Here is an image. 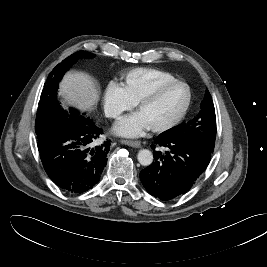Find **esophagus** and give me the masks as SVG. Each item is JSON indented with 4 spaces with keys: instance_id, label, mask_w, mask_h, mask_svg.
Listing matches in <instances>:
<instances>
[{
    "instance_id": "obj_1",
    "label": "esophagus",
    "mask_w": 267,
    "mask_h": 267,
    "mask_svg": "<svg viewBox=\"0 0 267 267\" xmlns=\"http://www.w3.org/2000/svg\"><path fill=\"white\" fill-rule=\"evenodd\" d=\"M122 143L135 148H138L141 145L140 141H132V140H122Z\"/></svg>"
}]
</instances>
